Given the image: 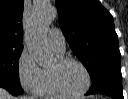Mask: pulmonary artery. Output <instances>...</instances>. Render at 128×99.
I'll use <instances>...</instances> for the list:
<instances>
[{
  "mask_svg": "<svg viewBox=\"0 0 128 99\" xmlns=\"http://www.w3.org/2000/svg\"><path fill=\"white\" fill-rule=\"evenodd\" d=\"M48 41L51 48L59 55L65 52V38L58 29H51L48 34Z\"/></svg>",
  "mask_w": 128,
  "mask_h": 99,
  "instance_id": "pulmonary-artery-1",
  "label": "pulmonary artery"
}]
</instances>
